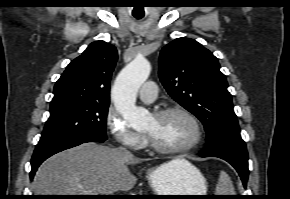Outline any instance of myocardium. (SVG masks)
I'll return each mask as SVG.
<instances>
[{
    "label": "myocardium",
    "instance_id": "f54148a6",
    "mask_svg": "<svg viewBox=\"0 0 290 199\" xmlns=\"http://www.w3.org/2000/svg\"><path fill=\"white\" fill-rule=\"evenodd\" d=\"M172 114H180L184 116L193 125L195 136L192 142L180 148H165L158 145L148 134L145 133L148 145L155 152L164 155L177 156L187 154L197 148L202 142L204 136L202 125L193 113L179 106L160 109L154 113V116L157 118H163Z\"/></svg>",
    "mask_w": 290,
    "mask_h": 199
}]
</instances>
